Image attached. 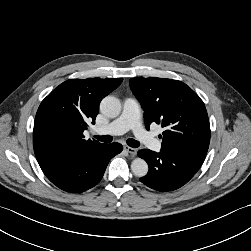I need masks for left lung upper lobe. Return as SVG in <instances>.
Masks as SVG:
<instances>
[{"mask_svg":"<svg viewBox=\"0 0 251 251\" xmlns=\"http://www.w3.org/2000/svg\"><path fill=\"white\" fill-rule=\"evenodd\" d=\"M129 84L144 110L146 128L157 123L165 129L161 149L205 158L210 142L208 114L203 101L189 86L164 78H132Z\"/></svg>","mask_w":251,"mask_h":251,"instance_id":"5c2ea615","label":"left lung upper lobe"}]
</instances>
